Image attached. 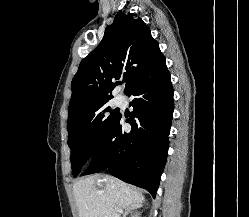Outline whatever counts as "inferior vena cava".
Instances as JSON below:
<instances>
[{
    "mask_svg": "<svg viewBox=\"0 0 249 217\" xmlns=\"http://www.w3.org/2000/svg\"><path fill=\"white\" fill-rule=\"evenodd\" d=\"M121 209L119 207L115 208V211L113 213V217H120Z\"/></svg>",
    "mask_w": 249,
    "mask_h": 217,
    "instance_id": "inferior-vena-cava-1",
    "label": "inferior vena cava"
}]
</instances>
